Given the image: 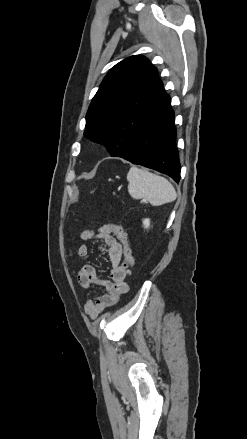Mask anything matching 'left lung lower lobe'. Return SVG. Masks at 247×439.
<instances>
[{
  "instance_id": "0a47b994",
  "label": "left lung lower lobe",
  "mask_w": 247,
  "mask_h": 439,
  "mask_svg": "<svg viewBox=\"0 0 247 439\" xmlns=\"http://www.w3.org/2000/svg\"><path fill=\"white\" fill-rule=\"evenodd\" d=\"M170 98L138 130L128 152L122 157L180 180V165L175 146L176 129Z\"/></svg>"
}]
</instances>
